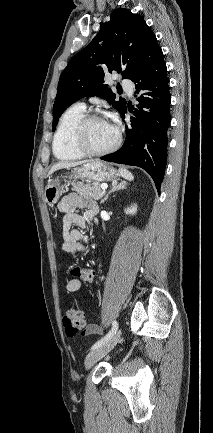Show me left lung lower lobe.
I'll use <instances>...</instances> for the list:
<instances>
[{
    "mask_svg": "<svg viewBox=\"0 0 213 433\" xmlns=\"http://www.w3.org/2000/svg\"><path fill=\"white\" fill-rule=\"evenodd\" d=\"M131 80L135 83L139 105L132 113L131 124L126 125L125 142L118 151L100 159L143 168L160 193L171 120L167 68L160 47ZM128 110L132 112L129 107ZM126 111L127 106L121 113L123 118Z\"/></svg>",
    "mask_w": 213,
    "mask_h": 433,
    "instance_id": "obj_1",
    "label": "left lung lower lobe"
}]
</instances>
